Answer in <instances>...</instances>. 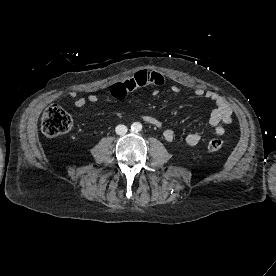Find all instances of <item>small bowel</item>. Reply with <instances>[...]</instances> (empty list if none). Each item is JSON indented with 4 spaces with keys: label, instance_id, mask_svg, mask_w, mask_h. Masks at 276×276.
Instances as JSON below:
<instances>
[{
    "label": "small bowel",
    "instance_id": "c3829d8e",
    "mask_svg": "<svg viewBox=\"0 0 276 276\" xmlns=\"http://www.w3.org/2000/svg\"><path fill=\"white\" fill-rule=\"evenodd\" d=\"M165 85L166 79L160 72L154 70H140L128 80L114 85L110 90V94L114 98H123L128 93L139 88L146 86L162 87ZM170 88L174 93L180 92V88L177 85H171ZM193 93L198 97H206L215 104V109L209 118V124L215 135H224L227 128L232 123V109L228 101L220 94L211 90H205L201 87L194 88ZM67 99H71L75 107H82L86 103H96L98 101V97L95 94H90L86 98H83L78 97L77 93L74 91H71L66 96L61 97L60 101H65ZM142 119L156 128H163V122L157 117L146 114L142 116ZM163 136L168 142H172L175 138V134L171 129L164 130ZM200 141L201 135L198 133H190L185 137L186 144L190 146H195Z\"/></svg>",
    "mask_w": 276,
    "mask_h": 276
}]
</instances>
